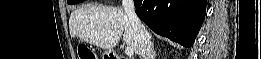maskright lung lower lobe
<instances>
[{
	"mask_svg": "<svg viewBox=\"0 0 261 59\" xmlns=\"http://www.w3.org/2000/svg\"><path fill=\"white\" fill-rule=\"evenodd\" d=\"M138 17L155 33L191 47L203 23L206 0H135Z\"/></svg>",
	"mask_w": 261,
	"mask_h": 59,
	"instance_id": "obj_1",
	"label": "right lung lower lobe"
}]
</instances>
